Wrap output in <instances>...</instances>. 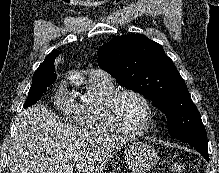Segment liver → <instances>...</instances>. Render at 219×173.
Wrapping results in <instances>:
<instances>
[{
  "mask_svg": "<svg viewBox=\"0 0 219 173\" xmlns=\"http://www.w3.org/2000/svg\"><path fill=\"white\" fill-rule=\"evenodd\" d=\"M124 143L72 126L37 103L18 115L8 162L11 173H100Z\"/></svg>",
  "mask_w": 219,
  "mask_h": 173,
  "instance_id": "1",
  "label": "liver"
}]
</instances>
